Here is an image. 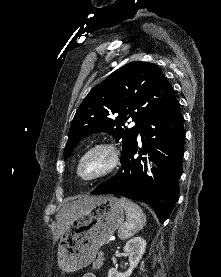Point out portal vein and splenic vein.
<instances>
[{"label":"portal vein and splenic vein","instance_id":"1","mask_svg":"<svg viewBox=\"0 0 221 277\" xmlns=\"http://www.w3.org/2000/svg\"><path fill=\"white\" fill-rule=\"evenodd\" d=\"M99 253H100V255H104V252H103V251H100Z\"/></svg>","mask_w":221,"mask_h":277}]
</instances>
